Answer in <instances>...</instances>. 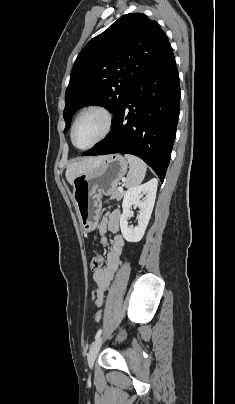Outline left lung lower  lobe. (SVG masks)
Instances as JSON below:
<instances>
[{"instance_id":"0a47b994","label":"left lung lower lobe","mask_w":235,"mask_h":404,"mask_svg":"<svg viewBox=\"0 0 235 404\" xmlns=\"http://www.w3.org/2000/svg\"><path fill=\"white\" fill-rule=\"evenodd\" d=\"M180 85L170 44L140 76L113 118L111 133L82 155L133 154L163 182L179 117Z\"/></svg>"}]
</instances>
